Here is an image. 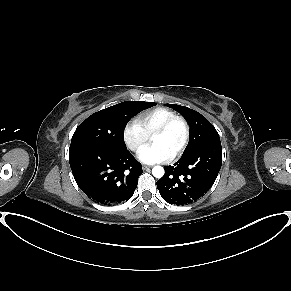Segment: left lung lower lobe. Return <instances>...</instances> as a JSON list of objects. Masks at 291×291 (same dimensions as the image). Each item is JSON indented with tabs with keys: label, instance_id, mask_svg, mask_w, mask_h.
I'll return each mask as SVG.
<instances>
[{
	"label": "left lung lower lobe",
	"instance_id": "1",
	"mask_svg": "<svg viewBox=\"0 0 291 291\" xmlns=\"http://www.w3.org/2000/svg\"><path fill=\"white\" fill-rule=\"evenodd\" d=\"M222 164L221 143H212L183 155L157 181L162 198L176 205L196 202L212 187Z\"/></svg>",
	"mask_w": 291,
	"mask_h": 291
}]
</instances>
